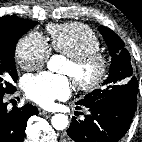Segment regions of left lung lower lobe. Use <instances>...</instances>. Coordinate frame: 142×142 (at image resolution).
Segmentation results:
<instances>
[{
    "label": "left lung lower lobe",
    "instance_id": "obj_1",
    "mask_svg": "<svg viewBox=\"0 0 142 142\" xmlns=\"http://www.w3.org/2000/svg\"><path fill=\"white\" fill-rule=\"evenodd\" d=\"M137 93L124 92L84 106V120L73 118L64 142H116L127 132L137 107ZM76 105H79L76 103ZM79 108V107H77Z\"/></svg>",
    "mask_w": 142,
    "mask_h": 142
}]
</instances>
